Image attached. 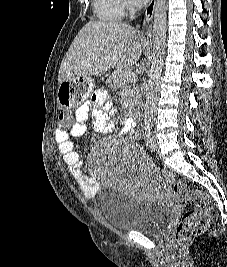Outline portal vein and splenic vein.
<instances>
[{"mask_svg": "<svg viewBox=\"0 0 227 267\" xmlns=\"http://www.w3.org/2000/svg\"><path fill=\"white\" fill-rule=\"evenodd\" d=\"M131 79H132V81H135L136 76L133 74V75L131 76Z\"/></svg>", "mask_w": 227, "mask_h": 267, "instance_id": "18ae733b", "label": "portal vein and splenic vein"}]
</instances>
